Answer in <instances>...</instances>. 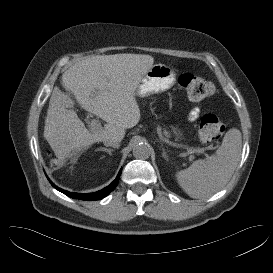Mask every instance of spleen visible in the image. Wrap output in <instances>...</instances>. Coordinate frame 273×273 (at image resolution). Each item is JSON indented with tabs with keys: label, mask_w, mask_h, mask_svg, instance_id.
Returning <instances> with one entry per match:
<instances>
[{
	"label": "spleen",
	"mask_w": 273,
	"mask_h": 273,
	"mask_svg": "<svg viewBox=\"0 0 273 273\" xmlns=\"http://www.w3.org/2000/svg\"><path fill=\"white\" fill-rule=\"evenodd\" d=\"M241 149V132L235 128L230 129L214 155L196 160L187 169L177 172L178 184L192 198L213 195L231 179L240 160Z\"/></svg>",
	"instance_id": "1"
}]
</instances>
